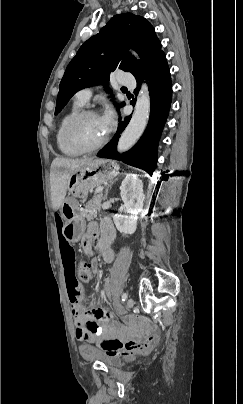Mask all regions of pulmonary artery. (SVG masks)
<instances>
[{"mask_svg": "<svg viewBox=\"0 0 243 404\" xmlns=\"http://www.w3.org/2000/svg\"><path fill=\"white\" fill-rule=\"evenodd\" d=\"M93 90L91 88H83L76 94V99L87 104L92 96Z\"/></svg>", "mask_w": 243, "mask_h": 404, "instance_id": "1", "label": "pulmonary artery"}]
</instances>
